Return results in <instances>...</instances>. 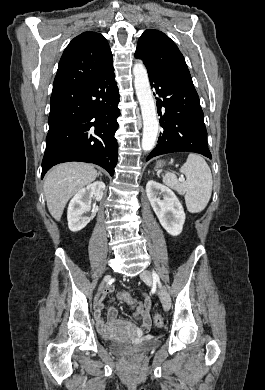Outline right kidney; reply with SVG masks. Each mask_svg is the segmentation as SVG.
<instances>
[{"label": "right kidney", "instance_id": "right-kidney-1", "mask_svg": "<svg viewBox=\"0 0 265 390\" xmlns=\"http://www.w3.org/2000/svg\"><path fill=\"white\" fill-rule=\"evenodd\" d=\"M104 190L105 184L102 181H97L74 195L67 211L68 227L71 231H80L90 222L91 218L84 214L90 211L91 199L95 198L96 201H100Z\"/></svg>", "mask_w": 265, "mask_h": 390}]
</instances>
